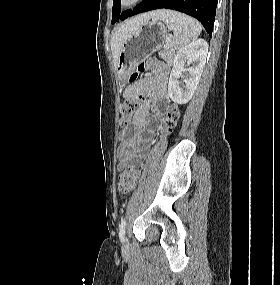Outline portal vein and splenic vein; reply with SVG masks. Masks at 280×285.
Segmentation results:
<instances>
[{
  "label": "portal vein and splenic vein",
  "mask_w": 280,
  "mask_h": 285,
  "mask_svg": "<svg viewBox=\"0 0 280 285\" xmlns=\"http://www.w3.org/2000/svg\"><path fill=\"white\" fill-rule=\"evenodd\" d=\"M171 42V37H167V39H166V47H168L169 46V43Z\"/></svg>",
  "instance_id": "obj_1"
}]
</instances>
